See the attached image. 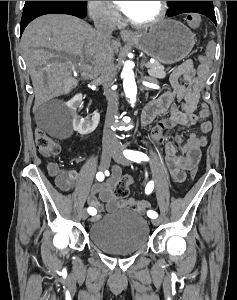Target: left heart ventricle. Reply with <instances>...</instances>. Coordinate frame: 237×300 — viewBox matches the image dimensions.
<instances>
[{"instance_id":"obj_1","label":"left heart ventricle","mask_w":237,"mask_h":300,"mask_svg":"<svg viewBox=\"0 0 237 300\" xmlns=\"http://www.w3.org/2000/svg\"><path fill=\"white\" fill-rule=\"evenodd\" d=\"M159 11V1H135L128 17L137 22L152 20Z\"/></svg>"}]
</instances>
